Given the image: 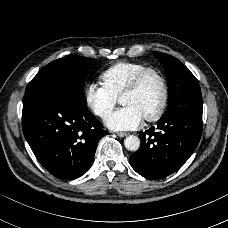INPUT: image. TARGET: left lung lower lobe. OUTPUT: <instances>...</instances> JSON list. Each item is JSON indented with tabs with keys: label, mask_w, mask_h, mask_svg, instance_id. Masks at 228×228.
Returning a JSON list of instances; mask_svg holds the SVG:
<instances>
[{
	"label": "left lung lower lobe",
	"mask_w": 228,
	"mask_h": 228,
	"mask_svg": "<svg viewBox=\"0 0 228 228\" xmlns=\"http://www.w3.org/2000/svg\"><path fill=\"white\" fill-rule=\"evenodd\" d=\"M140 134L141 146L131 155L130 164L147 179L164 178L177 171L192 155L202 132V108L178 107L165 113Z\"/></svg>",
	"instance_id": "obj_1"
}]
</instances>
